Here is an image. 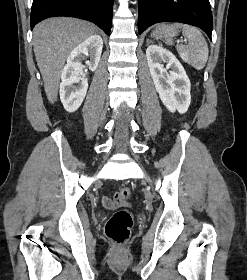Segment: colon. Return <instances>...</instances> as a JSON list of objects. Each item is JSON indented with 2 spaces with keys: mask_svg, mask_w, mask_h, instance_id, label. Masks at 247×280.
Returning a JSON list of instances; mask_svg holds the SVG:
<instances>
[{
  "mask_svg": "<svg viewBox=\"0 0 247 280\" xmlns=\"http://www.w3.org/2000/svg\"><path fill=\"white\" fill-rule=\"evenodd\" d=\"M131 196V191L127 187L119 189L115 193L116 201L123 203ZM133 218L131 213L125 209H119L113 213L105 225L106 237L115 245L125 244L131 235Z\"/></svg>",
  "mask_w": 247,
  "mask_h": 280,
  "instance_id": "colon-1",
  "label": "colon"
}]
</instances>
